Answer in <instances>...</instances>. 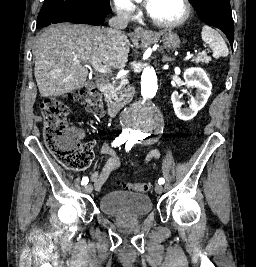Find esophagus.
Segmentation results:
<instances>
[{
    "label": "esophagus",
    "mask_w": 256,
    "mask_h": 267,
    "mask_svg": "<svg viewBox=\"0 0 256 267\" xmlns=\"http://www.w3.org/2000/svg\"><path fill=\"white\" fill-rule=\"evenodd\" d=\"M134 33L135 35H138V36H153L152 32L144 30V28L139 27V26L135 27Z\"/></svg>",
    "instance_id": "34e87169"
}]
</instances>
